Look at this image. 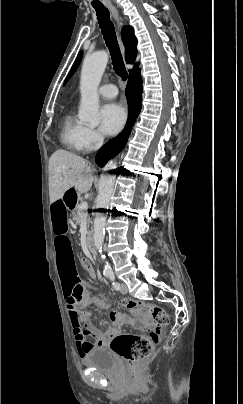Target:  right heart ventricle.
<instances>
[{
    "instance_id": "right-heart-ventricle-1",
    "label": "right heart ventricle",
    "mask_w": 243,
    "mask_h": 404,
    "mask_svg": "<svg viewBox=\"0 0 243 404\" xmlns=\"http://www.w3.org/2000/svg\"><path fill=\"white\" fill-rule=\"evenodd\" d=\"M83 124L75 118L72 112H67L61 120L59 140L61 145L72 152H79V139Z\"/></svg>"
}]
</instances>
